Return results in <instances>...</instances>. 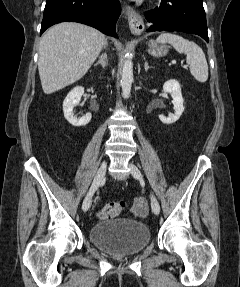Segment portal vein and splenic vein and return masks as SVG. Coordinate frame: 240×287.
<instances>
[{"label":"portal vein and splenic vein","instance_id":"18ae733b","mask_svg":"<svg viewBox=\"0 0 240 287\" xmlns=\"http://www.w3.org/2000/svg\"><path fill=\"white\" fill-rule=\"evenodd\" d=\"M187 67H188L187 65H184V66H183L184 69H187Z\"/></svg>","mask_w":240,"mask_h":287}]
</instances>
